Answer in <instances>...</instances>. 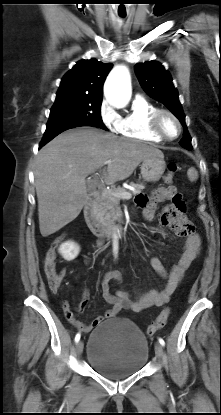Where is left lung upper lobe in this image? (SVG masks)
Wrapping results in <instances>:
<instances>
[{
  "mask_svg": "<svg viewBox=\"0 0 221 415\" xmlns=\"http://www.w3.org/2000/svg\"><path fill=\"white\" fill-rule=\"evenodd\" d=\"M135 72L144 91L152 98L162 102L180 120L185 128L180 144L184 148L192 150L191 137L185 124V115L170 73L164 69L161 63L156 61L136 64Z\"/></svg>",
  "mask_w": 221,
  "mask_h": 415,
  "instance_id": "5c2ea615",
  "label": "left lung upper lobe"
}]
</instances>
